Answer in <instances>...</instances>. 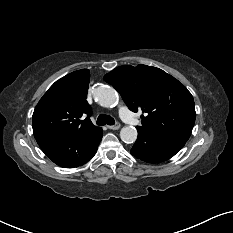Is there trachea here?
<instances>
[{
    "mask_svg": "<svg viewBox=\"0 0 233 233\" xmlns=\"http://www.w3.org/2000/svg\"><path fill=\"white\" fill-rule=\"evenodd\" d=\"M97 125L103 126L105 124L108 125H114L115 124V120L109 116V115H105V114H100L97 118Z\"/></svg>",
    "mask_w": 233,
    "mask_h": 233,
    "instance_id": "1",
    "label": "trachea"
}]
</instances>
